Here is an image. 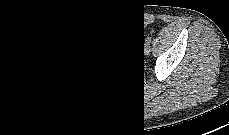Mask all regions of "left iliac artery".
I'll use <instances>...</instances> for the list:
<instances>
[{"label": "left iliac artery", "instance_id": "obj_1", "mask_svg": "<svg viewBox=\"0 0 229 135\" xmlns=\"http://www.w3.org/2000/svg\"><path fill=\"white\" fill-rule=\"evenodd\" d=\"M145 42L151 43V37H147V38L145 39Z\"/></svg>", "mask_w": 229, "mask_h": 135}]
</instances>
